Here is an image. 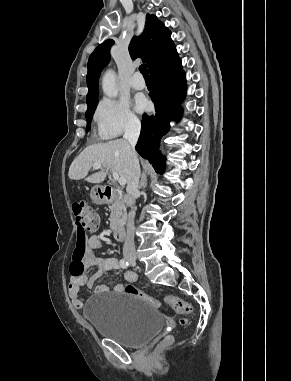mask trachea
<instances>
[{"mask_svg":"<svg viewBox=\"0 0 291 381\" xmlns=\"http://www.w3.org/2000/svg\"><path fill=\"white\" fill-rule=\"evenodd\" d=\"M139 71L141 72L144 78H149V73L145 64L140 65Z\"/></svg>","mask_w":291,"mask_h":381,"instance_id":"3493384b","label":"trachea"}]
</instances>
